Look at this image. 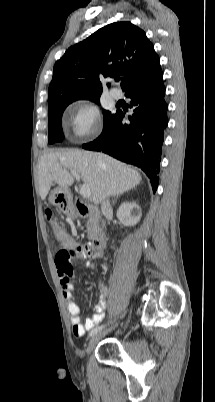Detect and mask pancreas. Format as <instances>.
I'll return each instance as SVG.
<instances>
[{"label": "pancreas", "instance_id": "obj_1", "mask_svg": "<svg viewBox=\"0 0 215 402\" xmlns=\"http://www.w3.org/2000/svg\"><path fill=\"white\" fill-rule=\"evenodd\" d=\"M88 239L93 240L99 233V227L95 219L89 218L87 221Z\"/></svg>", "mask_w": 215, "mask_h": 402}]
</instances>
